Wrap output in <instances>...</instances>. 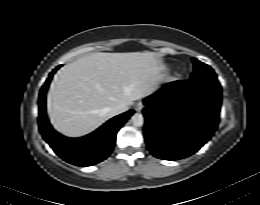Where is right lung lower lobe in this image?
I'll list each match as a JSON object with an SVG mask.
<instances>
[{
	"label": "right lung lower lobe",
	"mask_w": 260,
	"mask_h": 205,
	"mask_svg": "<svg viewBox=\"0 0 260 205\" xmlns=\"http://www.w3.org/2000/svg\"><path fill=\"white\" fill-rule=\"evenodd\" d=\"M54 69L45 84L42 86L39 95V128L45 141L51 146L54 152L66 162L76 166H91L106 159L116 141V133L133 114L129 110L120 114L93 133L81 138H67L57 133L51 127L46 115V92L49 83L56 72Z\"/></svg>",
	"instance_id": "obj_1"
}]
</instances>
